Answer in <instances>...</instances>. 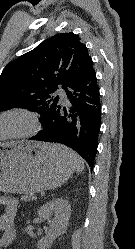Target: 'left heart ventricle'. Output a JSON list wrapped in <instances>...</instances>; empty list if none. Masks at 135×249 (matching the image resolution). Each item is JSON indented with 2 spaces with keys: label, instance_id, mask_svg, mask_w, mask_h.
Masks as SVG:
<instances>
[{
  "label": "left heart ventricle",
  "instance_id": "obj_1",
  "mask_svg": "<svg viewBox=\"0 0 135 249\" xmlns=\"http://www.w3.org/2000/svg\"><path fill=\"white\" fill-rule=\"evenodd\" d=\"M26 122L17 116H9L0 119V136L22 131L26 128Z\"/></svg>",
  "mask_w": 135,
  "mask_h": 249
}]
</instances>
